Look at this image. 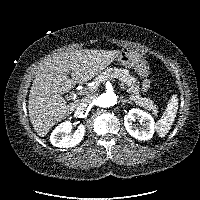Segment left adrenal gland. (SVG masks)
<instances>
[{
  "mask_svg": "<svg viewBox=\"0 0 200 200\" xmlns=\"http://www.w3.org/2000/svg\"><path fill=\"white\" fill-rule=\"evenodd\" d=\"M121 101H122V104L132 103V101H130L129 99H123V97H122Z\"/></svg>",
  "mask_w": 200,
  "mask_h": 200,
  "instance_id": "left-adrenal-gland-1",
  "label": "left adrenal gland"
}]
</instances>
